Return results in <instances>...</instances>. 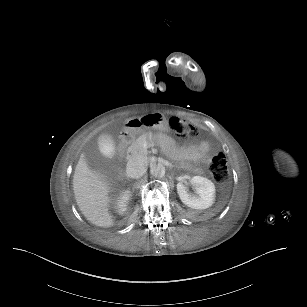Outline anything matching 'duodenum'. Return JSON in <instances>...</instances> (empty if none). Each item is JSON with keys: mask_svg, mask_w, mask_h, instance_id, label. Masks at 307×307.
Wrapping results in <instances>:
<instances>
[{"mask_svg": "<svg viewBox=\"0 0 307 307\" xmlns=\"http://www.w3.org/2000/svg\"><path fill=\"white\" fill-rule=\"evenodd\" d=\"M121 143L119 144L118 155L125 157L127 155L128 143L131 141L133 128L130 125H124L121 128Z\"/></svg>", "mask_w": 307, "mask_h": 307, "instance_id": "duodenum-1", "label": "duodenum"}]
</instances>
